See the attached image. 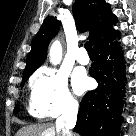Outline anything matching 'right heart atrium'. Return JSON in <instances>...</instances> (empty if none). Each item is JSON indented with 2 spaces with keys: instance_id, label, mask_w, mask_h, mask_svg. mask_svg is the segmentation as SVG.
I'll use <instances>...</instances> for the list:
<instances>
[{
  "instance_id": "obj_1",
  "label": "right heart atrium",
  "mask_w": 136,
  "mask_h": 136,
  "mask_svg": "<svg viewBox=\"0 0 136 136\" xmlns=\"http://www.w3.org/2000/svg\"><path fill=\"white\" fill-rule=\"evenodd\" d=\"M30 111L36 117H57L77 110L78 102L68 87L67 75L43 68L30 81Z\"/></svg>"
}]
</instances>
